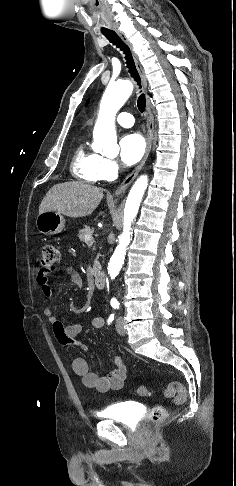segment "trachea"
Here are the masks:
<instances>
[{
    "label": "trachea",
    "instance_id": "trachea-1",
    "mask_svg": "<svg viewBox=\"0 0 236 486\" xmlns=\"http://www.w3.org/2000/svg\"><path fill=\"white\" fill-rule=\"evenodd\" d=\"M102 33H103V35H105V37L111 43L116 45L118 48H120L121 51L124 52L127 68L129 69L131 76L134 78V80L137 82V84L141 88L140 76H139L138 71L135 67L134 60H133V57H132V54L130 52L129 47L120 39V37L114 31L103 30ZM137 106H138V109L141 113L145 111L146 99H145L144 94L139 95L138 100H137Z\"/></svg>",
    "mask_w": 236,
    "mask_h": 486
}]
</instances>
